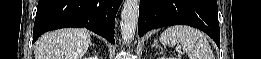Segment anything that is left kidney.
<instances>
[{
    "label": "left kidney",
    "mask_w": 261,
    "mask_h": 59,
    "mask_svg": "<svg viewBox=\"0 0 261 59\" xmlns=\"http://www.w3.org/2000/svg\"><path fill=\"white\" fill-rule=\"evenodd\" d=\"M159 59H176V58H173V57H169V58H167V57H160Z\"/></svg>",
    "instance_id": "obj_1"
}]
</instances>
